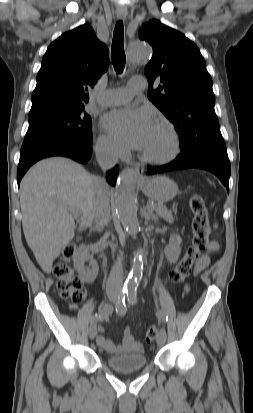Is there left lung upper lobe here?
Here are the masks:
<instances>
[{"label":"left lung upper lobe","instance_id":"1","mask_svg":"<svg viewBox=\"0 0 253 413\" xmlns=\"http://www.w3.org/2000/svg\"><path fill=\"white\" fill-rule=\"evenodd\" d=\"M138 35L153 47L145 67L148 98L175 125L181 149L192 151L205 141L223 140L212 79L198 47L159 20L142 25Z\"/></svg>","mask_w":253,"mask_h":413}]
</instances>
